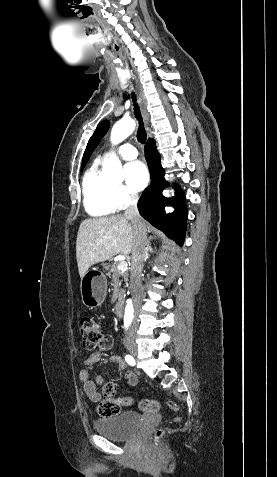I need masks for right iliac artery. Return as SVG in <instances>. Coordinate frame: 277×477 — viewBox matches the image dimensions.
<instances>
[{
    "instance_id": "right-iliac-artery-1",
    "label": "right iliac artery",
    "mask_w": 277,
    "mask_h": 477,
    "mask_svg": "<svg viewBox=\"0 0 277 477\" xmlns=\"http://www.w3.org/2000/svg\"><path fill=\"white\" fill-rule=\"evenodd\" d=\"M125 360H126V362H127L129 365H132V366L135 365V360L133 359L132 356L126 355V356H125Z\"/></svg>"
}]
</instances>
